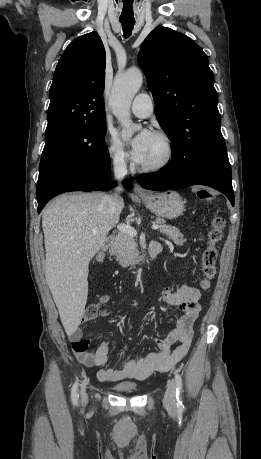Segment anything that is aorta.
<instances>
[{
	"label": "aorta",
	"instance_id": "762f6f07",
	"mask_svg": "<svg viewBox=\"0 0 261 459\" xmlns=\"http://www.w3.org/2000/svg\"><path fill=\"white\" fill-rule=\"evenodd\" d=\"M142 82L143 76L138 69H130L117 75L114 79L109 105L123 126L122 137L124 139H129L140 128L139 125H134L130 118V106Z\"/></svg>",
	"mask_w": 261,
	"mask_h": 459
}]
</instances>
